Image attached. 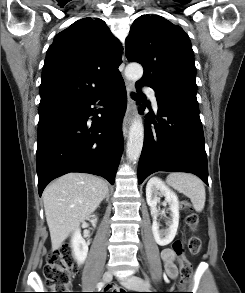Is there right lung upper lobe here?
<instances>
[{
	"label": "right lung upper lobe",
	"mask_w": 245,
	"mask_h": 293,
	"mask_svg": "<svg viewBox=\"0 0 245 293\" xmlns=\"http://www.w3.org/2000/svg\"><path fill=\"white\" fill-rule=\"evenodd\" d=\"M121 47L105 22L83 18L57 34L47 50L39 108L83 102L120 77Z\"/></svg>",
	"instance_id": "cb5924a9"
}]
</instances>
